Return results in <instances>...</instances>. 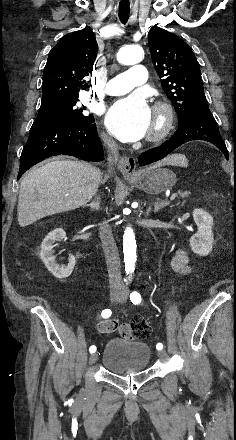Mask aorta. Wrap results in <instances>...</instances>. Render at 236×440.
Instances as JSON below:
<instances>
[{
	"mask_svg": "<svg viewBox=\"0 0 236 440\" xmlns=\"http://www.w3.org/2000/svg\"><path fill=\"white\" fill-rule=\"evenodd\" d=\"M144 58V51L138 45L125 46L121 48L117 54V60L123 65H133L141 62ZM123 253L125 271L127 274H132L135 270L137 260L136 255V240L133 229L126 227L123 235Z\"/></svg>",
	"mask_w": 236,
	"mask_h": 440,
	"instance_id": "1",
	"label": "aorta"
}]
</instances>
